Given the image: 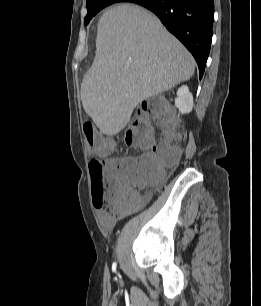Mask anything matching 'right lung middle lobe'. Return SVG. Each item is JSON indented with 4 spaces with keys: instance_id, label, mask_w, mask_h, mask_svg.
Masks as SVG:
<instances>
[{
    "instance_id": "right-lung-middle-lobe-1",
    "label": "right lung middle lobe",
    "mask_w": 261,
    "mask_h": 306,
    "mask_svg": "<svg viewBox=\"0 0 261 306\" xmlns=\"http://www.w3.org/2000/svg\"><path fill=\"white\" fill-rule=\"evenodd\" d=\"M117 2L118 1L116 0H88L86 3L88 13L85 17V24H88L93 16H95L100 10Z\"/></svg>"
}]
</instances>
